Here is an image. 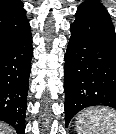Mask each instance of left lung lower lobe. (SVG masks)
Segmentation results:
<instances>
[{
  "label": "left lung lower lobe",
  "mask_w": 116,
  "mask_h": 134,
  "mask_svg": "<svg viewBox=\"0 0 116 134\" xmlns=\"http://www.w3.org/2000/svg\"><path fill=\"white\" fill-rule=\"evenodd\" d=\"M71 33L64 69L66 127L84 108L116 109V34L108 12L78 7Z\"/></svg>",
  "instance_id": "0a47b994"
}]
</instances>
